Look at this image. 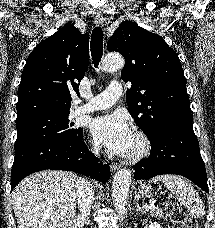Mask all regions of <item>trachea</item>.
Masks as SVG:
<instances>
[{
	"mask_svg": "<svg viewBox=\"0 0 215 228\" xmlns=\"http://www.w3.org/2000/svg\"><path fill=\"white\" fill-rule=\"evenodd\" d=\"M103 32L101 27H96L91 36V56L94 66L97 68L103 55Z\"/></svg>",
	"mask_w": 215,
	"mask_h": 228,
	"instance_id": "3493384b",
	"label": "trachea"
}]
</instances>
